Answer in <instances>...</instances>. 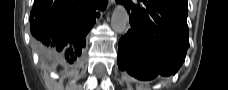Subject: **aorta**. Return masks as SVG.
<instances>
[{
  "mask_svg": "<svg viewBox=\"0 0 228 90\" xmlns=\"http://www.w3.org/2000/svg\"><path fill=\"white\" fill-rule=\"evenodd\" d=\"M129 15L123 5L118 4L112 14L111 26L117 33H123L128 30Z\"/></svg>",
  "mask_w": 228,
  "mask_h": 90,
  "instance_id": "1",
  "label": "aorta"
}]
</instances>
